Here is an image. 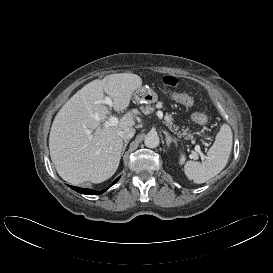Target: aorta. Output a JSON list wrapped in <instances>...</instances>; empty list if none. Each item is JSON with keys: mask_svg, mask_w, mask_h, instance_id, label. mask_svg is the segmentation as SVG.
<instances>
[{"mask_svg": "<svg viewBox=\"0 0 273 273\" xmlns=\"http://www.w3.org/2000/svg\"><path fill=\"white\" fill-rule=\"evenodd\" d=\"M144 143L148 148H156L160 143L159 136L156 133H148L144 139Z\"/></svg>", "mask_w": 273, "mask_h": 273, "instance_id": "1", "label": "aorta"}]
</instances>
